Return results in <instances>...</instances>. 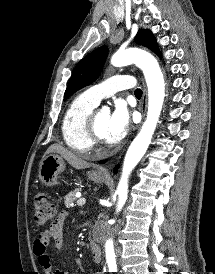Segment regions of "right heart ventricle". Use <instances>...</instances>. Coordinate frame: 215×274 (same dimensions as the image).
<instances>
[{
	"mask_svg": "<svg viewBox=\"0 0 215 274\" xmlns=\"http://www.w3.org/2000/svg\"><path fill=\"white\" fill-rule=\"evenodd\" d=\"M97 106L84 94L75 97L68 105L61 124L63 139L68 147L78 152H88L93 143L87 136V116Z\"/></svg>",
	"mask_w": 215,
	"mask_h": 274,
	"instance_id": "obj_1",
	"label": "right heart ventricle"
}]
</instances>
